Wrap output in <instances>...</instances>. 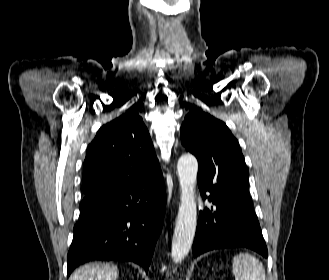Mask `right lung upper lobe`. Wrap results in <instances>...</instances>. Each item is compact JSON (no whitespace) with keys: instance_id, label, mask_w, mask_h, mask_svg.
<instances>
[{"instance_id":"right-lung-upper-lobe-1","label":"right lung upper lobe","mask_w":329,"mask_h":280,"mask_svg":"<svg viewBox=\"0 0 329 280\" xmlns=\"http://www.w3.org/2000/svg\"><path fill=\"white\" fill-rule=\"evenodd\" d=\"M161 172L149 132L129 111L103 125L87 148L83 191L112 181H134Z\"/></svg>"}]
</instances>
